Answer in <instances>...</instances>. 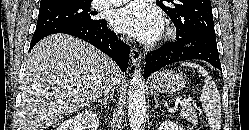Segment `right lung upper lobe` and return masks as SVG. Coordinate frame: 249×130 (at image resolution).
Masks as SVG:
<instances>
[{
	"label": "right lung upper lobe",
	"mask_w": 249,
	"mask_h": 130,
	"mask_svg": "<svg viewBox=\"0 0 249 130\" xmlns=\"http://www.w3.org/2000/svg\"><path fill=\"white\" fill-rule=\"evenodd\" d=\"M81 1H84V0H41L40 8L65 6V5H70V4L81 2ZM85 1H91V0H85Z\"/></svg>",
	"instance_id": "1"
}]
</instances>
